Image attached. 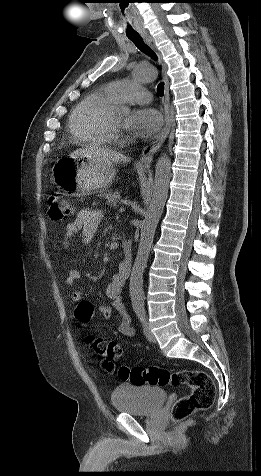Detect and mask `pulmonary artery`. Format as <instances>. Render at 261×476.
Returning a JSON list of instances; mask_svg holds the SVG:
<instances>
[{
  "instance_id": "1",
  "label": "pulmonary artery",
  "mask_w": 261,
  "mask_h": 476,
  "mask_svg": "<svg viewBox=\"0 0 261 476\" xmlns=\"http://www.w3.org/2000/svg\"><path fill=\"white\" fill-rule=\"evenodd\" d=\"M105 90L118 102L149 103L152 99L148 90L129 80L110 83Z\"/></svg>"
}]
</instances>
